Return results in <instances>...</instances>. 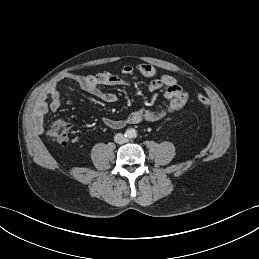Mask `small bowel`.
I'll return each mask as SVG.
<instances>
[{
  "label": "small bowel",
  "instance_id": "1",
  "mask_svg": "<svg viewBox=\"0 0 259 259\" xmlns=\"http://www.w3.org/2000/svg\"><path fill=\"white\" fill-rule=\"evenodd\" d=\"M135 75L142 78H150L148 88L151 91L164 90V96L169 102L157 110H135L126 119L103 118V124L109 128L120 129L126 124H138L143 121L156 123L174 112L181 109L188 100V93L170 75L158 76L156 68L150 65L130 66L126 65L121 69V75L100 72L90 75L67 74L65 78L76 82L84 91L94 95L106 103L117 101L116 94L101 90L103 86H125L131 85ZM129 76H133L128 78ZM61 91L50 88L45 97L37 104L33 115V127L36 133H43L44 118L52 110L56 111L61 106Z\"/></svg>",
  "mask_w": 259,
  "mask_h": 259
}]
</instances>
